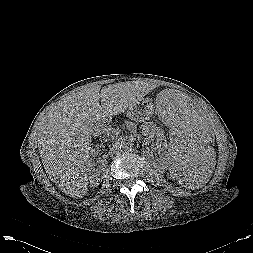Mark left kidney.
I'll return each instance as SVG.
<instances>
[{
	"label": "left kidney",
	"mask_w": 253,
	"mask_h": 253,
	"mask_svg": "<svg viewBox=\"0 0 253 253\" xmlns=\"http://www.w3.org/2000/svg\"><path fill=\"white\" fill-rule=\"evenodd\" d=\"M141 133L144 136H149L150 138H156L157 140V147L163 152V159H168V152H167V143L164 139V131L157 127L155 124L149 123L142 125ZM174 176L179 177L177 172H172Z\"/></svg>",
	"instance_id": "left-kidney-1"
}]
</instances>
